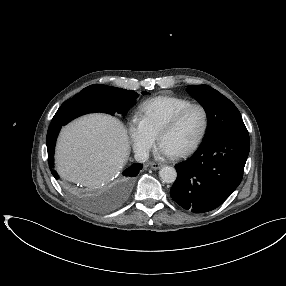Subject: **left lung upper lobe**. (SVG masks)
<instances>
[{
    "instance_id": "1",
    "label": "left lung upper lobe",
    "mask_w": 286,
    "mask_h": 286,
    "mask_svg": "<svg viewBox=\"0 0 286 286\" xmlns=\"http://www.w3.org/2000/svg\"><path fill=\"white\" fill-rule=\"evenodd\" d=\"M187 91L200 102L208 117L202 142L223 134H248L239 110L220 92L207 85H189Z\"/></svg>"
}]
</instances>
